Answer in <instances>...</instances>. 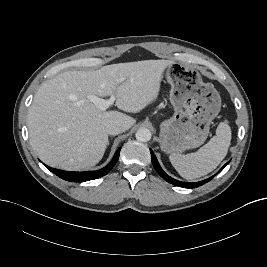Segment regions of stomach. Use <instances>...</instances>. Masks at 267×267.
<instances>
[{"mask_svg":"<svg viewBox=\"0 0 267 267\" xmlns=\"http://www.w3.org/2000/svg\"><path fill=\"white\" fill-rule=\"evenodd\" d=\"M164 76L171 85L174 114L160 124V147L167 154L197 148L205 142L210 123L220 111V95L213 85L203 82L195 68L172 62Z\"/></svg>","mask_w":267,"mask_h":267,"instance_id":"stomach-1","label":"stomach"}]
</instances>
